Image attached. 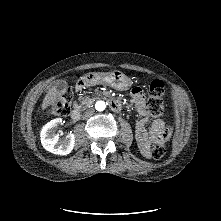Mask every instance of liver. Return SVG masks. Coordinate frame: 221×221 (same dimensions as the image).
<instances>
[{"mask_svg":"<svg viewBox=\"0 0 221 221\" xmlns=\"http://www.w3.org/2000/svg\"><path fill=\"white\" fill-rule=\"evenodd\" d=\"M59 95L60 92L57 89V86L56 85L52 86V88L49 89L43 100L42 109L44 110L48 106L53 105L55 102H57Z\"/></svg>","mask_w":221,"mask_h":221,"instance_id":"obj_1","label":"liver"}]
</instances>
